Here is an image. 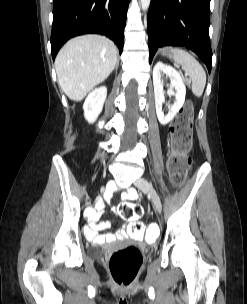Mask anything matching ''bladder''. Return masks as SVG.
I'll return each instance as SVG.
<instances>
[{
    "mask_svg": "<svg viewBox=\"0 0 247 304\" xmlns=\"http://www.w3.org/2000/svg\"><path fill=\"white\" fill-rule=\"evenodd\" d=\"M89 253L92 255V256H99L101 254V252L99 250H96V249H91L89 251Z\"/></svg>",
    "mask_w": 247,
    "mask_h": 304,
    "instance_id": "31cf9c89",
    "label": "bladder"
}]
</instances>
